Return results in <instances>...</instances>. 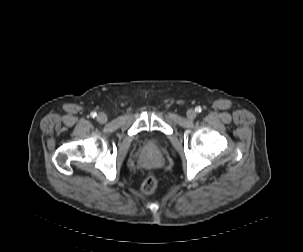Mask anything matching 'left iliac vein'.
I'll use <instances>...</instances> for the list:
<instances>
[{
	"label": "left iliac vein",
	"instance_id": "1",
	"mask_svg": "<svg viewBox=\"0 0 303 252\" xmlns=\"http://www.w3.org/2000/svg\"><path fill=\"white\" fill-rule=\"evenodd\" d=\"M196 116H197V113H196V111L193 110V109H190V110L187 112V117H188V119H190V120L195 119Z\"/></svg>",
	"mask_w": 303,
	"mask_h": 252
}]
</instances>
